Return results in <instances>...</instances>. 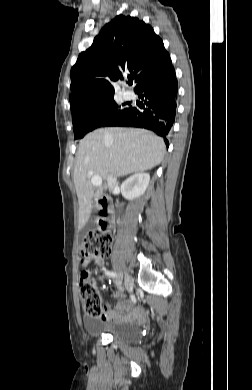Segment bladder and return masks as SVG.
I'll use <instances>...</instances> for the list:
<instances>
[{"label":"bladder","instance_id":"31cf9c89","mask_svg":"<svg viewBox=\"0 0 252 390\" xmlns=\"http://www.w3.org/2000/svg\"><path fill=\"white\" fill-rule=\"evenodd\" d=\"M84 328L90 336L109 335L125 344L138 343L143 337L140 326L135 323L86 318Z\"/></svg>","mask_w":252,"mask_h":390}]
</instances>
